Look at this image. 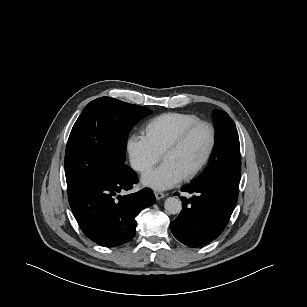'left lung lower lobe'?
I'll return each instance as SVG.
<instances>
[{
    "label": "left lung lower lobe",
    "instance_id": "1",
    "mask_svg": "<svg viewBox=\"0 0 307 307\" xmlns=\"http://www.w3.org/2000/svg\"><path fill=\"white\" fill-rule=\"evenodd\" d=\"M181 191L196 195L191 199L181 197L183 209L170 223L175 238L189 247L203 246L216 239L227 225L238 195L217 182H193Z\"/></svg>",
    "mask_w": 307,
    "mask_h": 307
}]
</instances>
